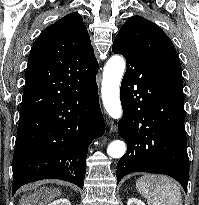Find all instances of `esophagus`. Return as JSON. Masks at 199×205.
I'll list each match as a JSON object with an SVG mask.
<instances>
[{
	"mask_svg": "<svg viewBox=\"0 0 199 205\" xmlns=\"http://www.w3.org/2000/svg\"><path fill=\"white\" fill-rule=\"evenodd\" d=\"M114 126H113V122H110V132L114 131Z\"/></svg>",
	"mask_w": 199,
	"mask_h": 205,
	"instance_id": "1",
	"label": "esophagus"
}]
</instances>
